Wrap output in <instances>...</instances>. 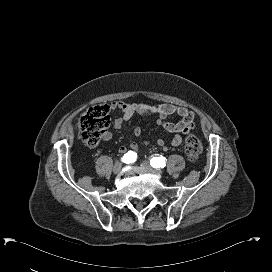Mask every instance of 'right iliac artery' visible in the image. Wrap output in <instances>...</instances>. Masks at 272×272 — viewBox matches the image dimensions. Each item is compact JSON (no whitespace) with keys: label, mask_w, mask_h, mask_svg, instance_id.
<instances>
[{"label":"right iliac artery","mask_w":272,"mask_h":272,"mask_svg":"<svg viewBox=\"0 0 272 272\" xmlns=\"http://www.w3.org/2000/svg\"><path fill=\"white\" fill-rule=\"evenodd\" d=\"M137 155L134 152L129 151L122 158V162L126 164L134 163L136 161Z\"/></svg>","instance_id":"right-iliac-artery-1"}]
</instances>
